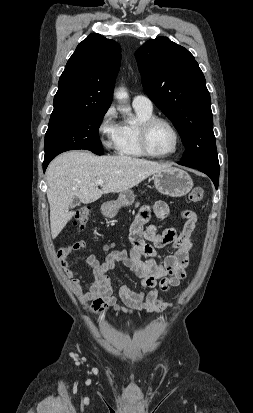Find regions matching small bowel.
Masks as SVG:
<instances>
[{
	"instance_id": "1",
	"label": "small bowel",
	"mask_w": 253,
	"mask_h": 413,
	"mask_svg": "<svg viewBox=\"0 0 253 413\" xmlns=\"http://www.w3.org/2000/svg\"><path fill=\"white\" fill-rule=\"evenodd\" d=\"M152 213L161 220H168L170 216L169 207L163 201L143 206L130 228V251L112 250L101 261L82 240L58 250L57 260L76 291L80 289V280L68 257L80 250L89 251L83 262L92 270L94 280L88 291L81 295V300L91 302L90 311L93 314H105L111 309L128 314L141 311L161 313L171 306L162 298L161 292L179 286L186 277L189 253L194 247L193 232L197 216L193 211L186 210L183 212L185 223L182 228L171 226L158 234L155 225L145 227ZM164 250L174 252L161 257ZM118 266L127 268L141 281L140 291H133L127 286L119 288L118 297L123 305L117 303L109 276Z\"/></svg>"
}]
</instances>
